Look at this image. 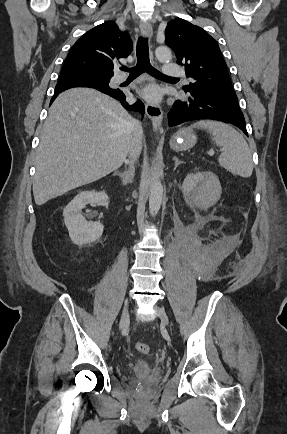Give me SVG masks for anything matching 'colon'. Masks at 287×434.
Instances as JSON below:
<instances>
[{
	"mask_svg": "<svg viewBox=\"0 0 287 434\" xmlns=\"http://www.w3.org/2000/svg\"><path fill=\"white\" fill-rule=\"evenodd\" d=\"M135 348L137 351H139L140 353H143V354H147L149 352V346H148V344H146L144 342H137L135 344Z\"/></svg>",
	"mask_w": 287,
	"mask_h": 434,
	"instance_id": "colon-1",
	"label": "colon"
}]
</instances>
